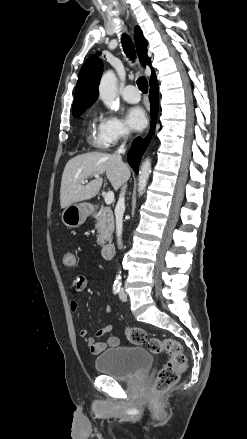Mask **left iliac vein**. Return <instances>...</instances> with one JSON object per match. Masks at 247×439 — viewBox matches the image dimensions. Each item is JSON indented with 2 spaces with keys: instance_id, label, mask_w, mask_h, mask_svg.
I'll use <instances>...</instances> for the list:
<instances>
[{
  "instance_id": "obj_1",
  "label": "left iliac vein",
  "mask_w": 247,
  "mask_h": 439,
  "mask_svg": "<svg viewBox=\"0 0 247 439\" xmlns=\"http://www.w3.org/2000/svg\"><path fill=\"white\" fill-rule=\"evenodd\" d=\"M119 298L122 301H126L127 300V294H126L124 288L121 289V291L119 293Z\"/></svg>"
}]
</instances>
